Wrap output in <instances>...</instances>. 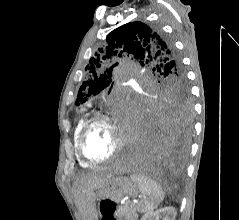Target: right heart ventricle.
Here are the masks:
<instances>
[{
	"instance_id": "1",
	"label": "right heart ventricle",
	"mask_w": 239,
	"mask_h": 220,
	"mask_svg": "<svg viewBox=\"0 0 239 220\" xmlns=\"http://www.w3.org/2000/svg\"><path fill=\"white\" fill-rule=\"evenodd\" d=\"M84 124H85V119L84 118L79 119V121L77 122V125H76L75 130H74V145H75L76 154L79 158L80 165L82 167H90L91 164H89L86 161H84L83 159H81L79 157V153H78V138H79L80 131H81Z\"/></svg>"
}]
</instances>
